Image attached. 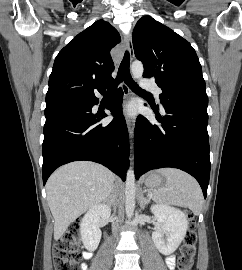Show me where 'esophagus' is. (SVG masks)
Masks as SVG:
<instances>
[{"label": "esophagus", "mask_w": 242, "mask_h": 270, "mask_svg": "<svg viewBox=\"0 0 242 270\" xmlns=\"http://www.w3.org/2000/svg\"><path fill=\"white\" fill-rule=\"evenodd\" d=\"M125 46L130 54V60L132 61L134 58V52H133V44H132V37L131 35H128L125 37ZM122 88H123V92H124V96L126 98H128L129 96H131L132 92L129 89V87L127 86V84L125 82L122 83ZM126 124H127V128L129 131V135L130 137H132L133 135V131H134V123L131 119L127 118L126 119Z\"/></svg>", "instance_id": "obj_1"}]
</instances>
